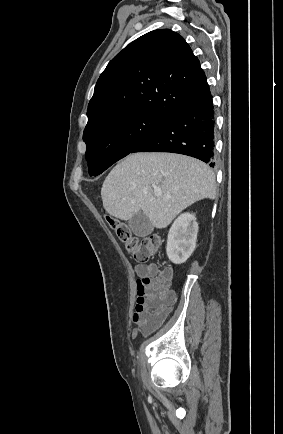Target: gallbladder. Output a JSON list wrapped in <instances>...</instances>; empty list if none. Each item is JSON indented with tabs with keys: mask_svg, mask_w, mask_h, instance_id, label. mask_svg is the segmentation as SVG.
<instances>
[{
	"mask_svg": "<svg viewBox=\"0 0 283 434\" xmlns=\"http://www.w3.org/2000/svg\"><path fill=\"white\" fill-rule=\"evenodd\" d=\"M129 229L139 237H145L152 233L153 225L143 212L136 213L129 221Z\"/></svg>",
	"mask_w": 283,
	"mask_h": 434,
	"instance_id": "bac80fb5",
	"label": "gallbladder"
}]
</instances>
